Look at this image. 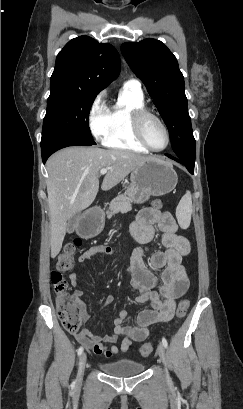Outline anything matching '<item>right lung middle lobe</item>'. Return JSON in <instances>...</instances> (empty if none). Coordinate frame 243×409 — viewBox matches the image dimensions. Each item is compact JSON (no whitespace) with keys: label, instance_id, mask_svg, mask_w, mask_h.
<instances>
[{"label":"right lung middle lobe","instance_id":"dd1d6c3e","mask_svg":"<svg viewBox=\"0 0 243 409\" xmlns=\"http://www.w3.org/2000/svg\"><path fill=\"white\" fill-rule=\"evenodd\" d=\"M50 91L41 142L55 135H70L93 141L88 123L90 109L97 94L72 90L58 84H51Z\"/></svg>","mask_w":243,"mask_h":409}]
</instances>
